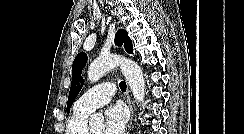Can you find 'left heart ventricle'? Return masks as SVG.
<instances>
[{
  "instance_id": "b2bd125f",
  "label": "left heart ventricle",
  "mask_w": 244,
  "mask_h": 134,
  "mask_svg": "<svg viewBox=\"0 0 244 134\" xmlns=\"http://www.w3.org/2000/svg\"><path fill=\"white\" fill-rule=\"evenodd\" d=\"M92 134H104V127L103 126H96L91 129Z\"/></svg>"
}]
</instances>
